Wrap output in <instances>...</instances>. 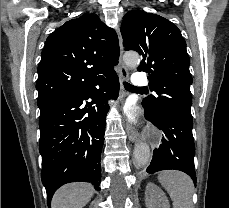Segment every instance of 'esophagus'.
Here are the masks:
<instances>
[{"label":"esophagus","mask_w":229,"mask_h":208,"mask_svg":"<svg viewBox=\"0 0 229 208\" xmlns=\"http://www.w3.org/2000/svg\"><path fill=\"white\" fill-rule=\"evenodd\" d=\"M116 33H117V36H118V40H119V47H120V58H119V68H120V71H119V79H120V82H123L124 80H128L129 79V72L122 60V54H123V44H122V36H121V32H120V28L119 26L116 27ZM120 99H121V102L122 104L124 103L125 101V92H124V88H123V85L121 84L120 86ZM126 132H127V136H128V139L131 141V142H135L137 140V137H138V132L137 130L135 129V127L133 125H131L130 123H127L126 124Z\"/></svg>","instance_id":"obj_1"}]
</instances>
